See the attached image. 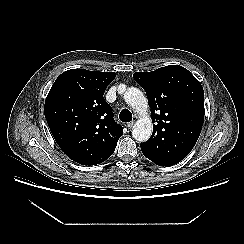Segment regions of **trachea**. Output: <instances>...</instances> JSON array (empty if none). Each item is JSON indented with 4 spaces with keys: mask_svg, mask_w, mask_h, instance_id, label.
<instances>
[{
    "mask_svg": "<svg viewBox=\"0 0 244 244\" xmlns=\"http://www.w3.org/2000/svg\"><path fill=\"white\" fill-rule=\"evenodd\" d=\"M119 118L122 122H129L132 120V114L128 109H122Z\"/></svg>",
    "mask_w": 244,
    "mask_h": 244,
    "instance_id": "1",
    "label": "trachea"
}]
</instances>
